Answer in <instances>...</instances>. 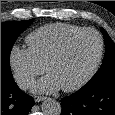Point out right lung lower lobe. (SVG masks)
<instances>
[{
	"label": "right lung lower lobe",
	"mask_w": 115,
	"mask_h": 115,
	"mask_svg": "<svg viewBox=\"0 0 115 115\" xmlns=\"http://www.w3.org/2000/svg\"><path fill=\"white\" fill-rule=\"evenodd\" d=\"M33 105V98L20 90L13 78L1 79V115H27Z\"/></svg>",
	"instance_id": "right-lung-lower-lobe-1"
}]
</instances>
